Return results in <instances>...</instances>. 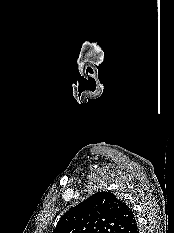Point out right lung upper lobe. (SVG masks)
<instances>
[{
	"instance_id": "1",
	"label": "right lung upper lobe",
	"mask_w": 174,
	"mask_h": 233,
	"mask_svg": "<svg viewBox=\"0 0 174 233\" xmlns=\"http://www.w3.org/2000/svg\"><path fill=\"white\" fill-rule=\"evenodd\" d=\"M52 233H139V229L129 206L102 191L69 209Z\"/></svg>"
}]
</instances>
